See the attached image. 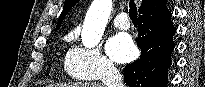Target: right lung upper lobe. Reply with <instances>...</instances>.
Listing matches in <instances>:
<instances>
[{"instance_id": "1", "label": "right lung upper lobe", "mask_w": 205, "mask_h": 87, "mask_svg": "<svg viewBox=\"0 0 205 87\" xmlns=\"http://www.w3.org/2000/svg\"><path fill=\"white\" fill-rule=\"evenodd\" d=\"M155 1L156 0H142V4L139 8V12L146 9L147 7H149ZM77 2H78V0H65L63 11L60 15L59 22H58V25H57L55 30H57L60 27L63 19L66 16V14L69 12V10L72 8V6H74Z\"/></svg>"}]
</instances>
